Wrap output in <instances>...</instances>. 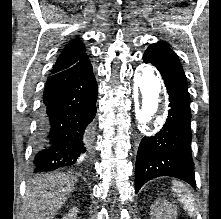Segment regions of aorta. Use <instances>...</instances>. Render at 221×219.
<instances>
[{
    "instance_id": "aorta-1",
    "label": "aorta",
    "mask_w": 221,
    "mask_h": 219,
    "mask_svg": "<svg viewBox=\"0 0 221 219\" xmlns=\"http://www.w3.org/2000/svg\"><path fill=\"white\" fill-rule=\"evenodd\" d=\"M135 85V118L139 126L151 123L162 107L164 93L160 78L154 67L142 64L134 74Z\"/></svg>"
}]
</instances>
